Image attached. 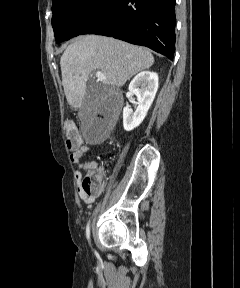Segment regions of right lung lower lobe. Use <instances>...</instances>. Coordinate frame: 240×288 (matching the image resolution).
Returning <instances> with one entry per match:
<instances>
[{"mask_svg":"<svg viewBox=\"0 0 240 288\" xmlns=\"http://www.w3.org/2000/svg\"><path fill=\"white\" fill-rule=\"evenodd\" d=\"M176 0H112L81 34L112 36L173 60Z\"/></svg>","mask_w":240,"mask_h":288,"instance_id":"98d812e1","label":"right lung lower lobe"}]
</instances>
